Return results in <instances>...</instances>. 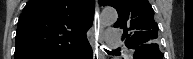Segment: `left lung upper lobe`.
Returning a JSON list of instances; mask_svg holds the SVG:
<instances>
[{
    "mask_svg": "<svg viewBox=\"0 0 193 59\" xmlns=\"http://www.w3.org/2000/svg\"><path fill=\"white\" fill-rule=\"evenodd\" d=\"M101 6H112L118 12L115 28L123 29V39L129 49L140 46L158 47V25L154 10L147 0H98Z\"/></svg>",
    "mask_w": 193,
    "mask_h": 59,
    "instance_id": "5c2ea615",
    "label": "left lung upper lobe"
}]
</instances>
